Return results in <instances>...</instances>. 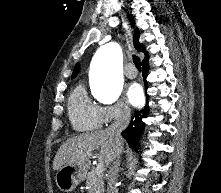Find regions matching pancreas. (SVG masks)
Here are the masks:
<instances>
[{
    "mask_svg": "<svg viewBox=\"0 0 221 193\" xmlns=\"http://www.w3.org/2000/svg\"><path fill=\"white\" fill-rule=\"evenodd\" d=\"M86 185L88 193H104V176L93 169L87 174Z\"/></svg>",
    "mask_w": 221,
    "mask_h": 193,
    "instance_id": "pancreas-1",
    "label": "pancreas"
}]
</instances>
